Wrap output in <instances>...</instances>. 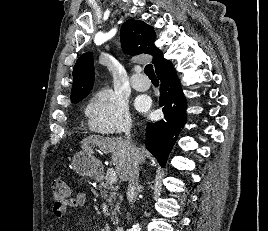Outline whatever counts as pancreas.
Masks as SVG:
<instances>
[{
	"label": "pancreas",
	"mask_w": 268,
	"mask_h": 231,
	"mask_svg": "<svg viewBox=\"0 0 268 231\" xmlns=\"http://www.w3.org/2000/svg\"><path fill=\"white\" fill-rule=\"evenodd\" d=\"M99 191L102 198L106 199L111 209V219L114 225H117L119 220L117 214L119 213V203L116 201L119 193L117 187L110 184L107 179L102 181L99 185Z\"/></svg>",
	"instance_id": "obj_1"
}]
</instances>
